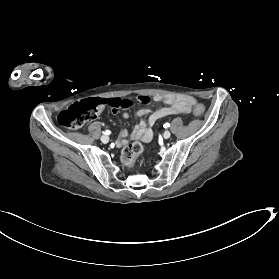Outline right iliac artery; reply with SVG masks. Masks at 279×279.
<instances>
[{"label":"right iliac artery","mask_w":279,"mask_h":279,"mask_svg":"<svg viewBox=\"0 0 279 279\" xmlns=\"http://www.w3.org/2000/svg\"><path fill=\"white\" fill-rule=\"evenodd\" d=\"M103 133L106 134V135H109L111 132L108 131V130H106V131H104Z\"/></svg>","instance_id":"right-iliac-artery-1"}]
</instances>
